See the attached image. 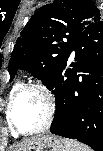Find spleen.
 Listing matches in <instances>:
<instances>
[{"mask_svg":"<svg viewBox=\"0 0 103 151\" xmlns=\"http://www.w3.org/2000/svg\"><path fill=\"white\" fill-rule=\"evenodd\" d=\"M66 151H91V149L80 142L68 138H61Z\"/></svg>","mask_w":103,"mask_h":151,"instance_id":"3e777b00","label":"spleen"}]
</instances>
